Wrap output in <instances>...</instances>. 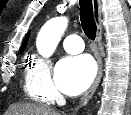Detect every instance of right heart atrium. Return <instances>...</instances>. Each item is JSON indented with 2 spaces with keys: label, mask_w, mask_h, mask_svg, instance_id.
I'll list each match as a JSON object with an SVG mask.
<instances>
[{
  "label": "right heart atrium",
  "mask_w": 131,
  "mask_h": 115,
  "mask_svg": "<svg viewBox=\"0 0 131 115\" xmlns=\"http://www.w3.org/2000/svg\"><path fill=\"white\" fill-rule=\"evenodd\" d=\"M25 91L32 99L52 104L60 94L51 78V66L47 59L33 56L25 72Z\"/></svg>",
  "instance_id": "right-heart-atrium-1"
}]
</instances>
